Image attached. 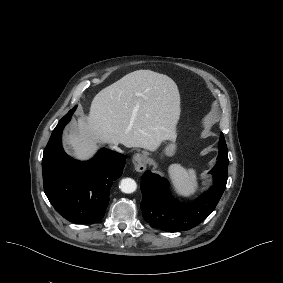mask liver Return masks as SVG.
<instances>
[{
	"label": "liver",
	"mask_w": 283,
	"mask_h": 283,
	"mask_svg": "<svg viewBox=\"0 0 283 283\" xmlns=\"http://www.w3.org/2000/svg\"><path fill=\"white\" fill-rule=\"evenodd\" d=\"M178 115L175 81L152 70H136L94 96L66 143L79 162L92 159L103 145L154 149L162 139L175 140Z\"/></svg>",
	"instance_id": "1"
}]
</instances>
